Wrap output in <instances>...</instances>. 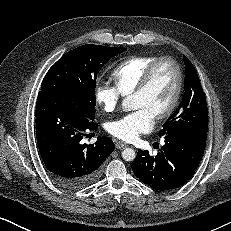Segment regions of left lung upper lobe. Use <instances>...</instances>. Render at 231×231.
<instances>
[{
    "instance_id": "1",
    "label": "left lung upper lobe",
    "mask_w": 231,
    "mask_h": 231,
    "mask_svg": "<svg viewBox=\"0 0 231 231\" xmlns=\"http://www.w3.org/2000/svg\"><path fill=\"white\" fill-rule=\"evenodd\" d=\"M183 59L186 72L185 94L178 109L159 131L160 137L167 134L207 136L208 109L205 95L194 66L185 55Z\"/></svg>"
}]
</instances>
